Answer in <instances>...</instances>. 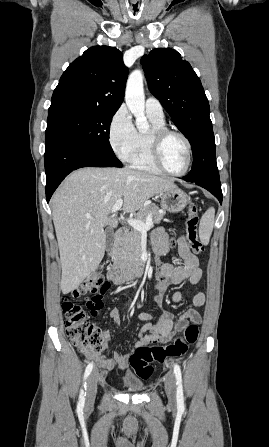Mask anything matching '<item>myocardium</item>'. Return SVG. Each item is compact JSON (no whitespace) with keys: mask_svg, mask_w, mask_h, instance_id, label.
Segmentation results:
<instances>
[{"mask_svg":"<svg viewBox=\"0 0 269 447\" xmlns=\"http://www.w3.org/2000/svg\"><path fill=\"white\" fill-rule=\"evenodd\" d=\"M172 135L180 137L186 144L187 162H186L185 167L179 171L170 169L166 165V163L164 161V157H163V144H164L165 140L169 136H172ZM149 146H150V153H151V158H152L153 162L162 171H164L168 174H172V175H182L188 171V169L191 165V162H192V145H191L190 140L184 133H182L178 130H173V129H169L166 127L153 128L149 133Z\"/></svg>","mask_w":269,"mask_h":447,"instance_id":"1","label":"myocardium"}]
</instances>
